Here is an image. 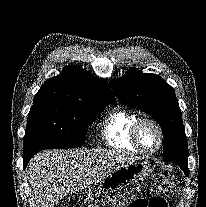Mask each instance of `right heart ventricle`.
<instances>
[{"mask_svg": "<svg viewBox=\"0 0 206 207\" xmlns=\"http://www.w3.org/2000/svg\"><path fill=\"white\" fill-rule=\"evenodd\" d=\"M139 119L135 112L123 108L112 110L101 124V135L112 149L138 152L131 140V128Z\"/></svg>", "mask_w": 206, "mask_h": 207, "instance_id": "right-heart-ventricle-1", "label": "right heart ventricle"}]
</instances>
